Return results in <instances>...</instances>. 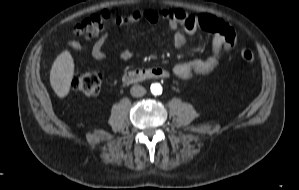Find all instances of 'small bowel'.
<instances>
[{
  "label": "small bowel",
  "mask_w": 299,
  "mask_h": 190,
  "mask_svg": "<svg viewBox=\"0 0 299 190\" xmlns=\"http://www.w3.org/2000/svg\"><path fill=\"white\" fill-rule=\"evenodd\" d=\"M208 19V23L202 27L199 20L202 16L188 13L182 8L170 9L160 14L154 9L141 10L132 7L127 15L118 17L115 20L116 25H132L139 21H148L156 24L161 17L168 20L169 28L173 31V44L180 48L186 42V35L194 33L199 27H202L213 33L212 50L209 56L197 58L190 61L179 62L173 67V74L180 79H188L193 75H202L211 72L218 64L222 55L228 51L236 40V34L232 27L216 16L203 15ZM106 40V34L101 36L91 47L92 57L96 60H103L105 54L103 46ZM67 46L74 50H85L87 46L75 41L69 40ZM132 53L129 50L121 52L122 59H129Z\"/></svg>",
  "instance_id": "obj_1"
}]
</instances>
